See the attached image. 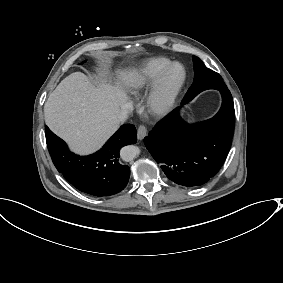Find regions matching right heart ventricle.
Segmentation results:
<instances>
[{
	"label": "right heart ventricle",
	"instance_id": "e07e8e85",
	"mask_svg": "<svg viewBox=\"0 0 283 283\" xmlns=\"http://www.w3.org/2000/svg\"><path fill=\"white\" fill-rule=\"evenodd\" d=\"M172 61L167 57H153L131 71L125 79V88L132 95H141L151 86L158 73Z\"/></svg>",
	"mask_w": 283,
	"mask_h": 283
}]
</instances>
